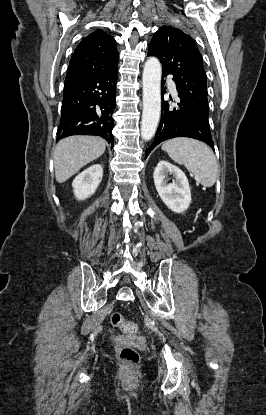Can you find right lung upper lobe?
Here are the masks:
<instances>
[{
  "label": "right lung upper lobe",
  "mask_w": 266,
  "mask_h": 415,
  "mask_svg": "<svg viewBox=\"0 0 266 415\" xmlns=\"http://www.w3.org/2000/svg\"><path fill=\"white\" fill-rule=\"evenodd\" d=\"M118 58L113 37L102 30H96L75 49L65 84L108 73L118 66Z\"/></svg>",
  "instance_id": "1"
}]
</instances>
